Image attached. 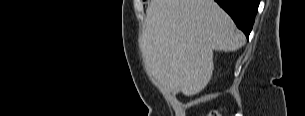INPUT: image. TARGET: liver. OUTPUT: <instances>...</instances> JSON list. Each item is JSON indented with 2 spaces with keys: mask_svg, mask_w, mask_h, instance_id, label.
I'll return each instance as SVG.
<instances>
[{
  "mask_svg": "<svg viewBox=\"0 0 305 116\" xmlns=\"http://www.w3.org/2000/svg\"><path fill=\"white\" fill-rule=\"evenodd\" d=\"M244 42L214 0H151L140 46L150 77L191 96L211 79L213 50L236 51Z\"/></svg>",
  "mask_w": 305,
  "mask_h": 116,
  "instance_id": "1",
  "label": "liver"
}]
</instances>
